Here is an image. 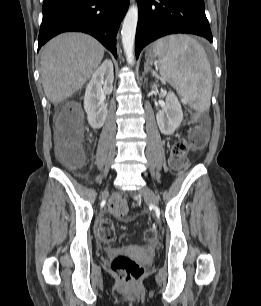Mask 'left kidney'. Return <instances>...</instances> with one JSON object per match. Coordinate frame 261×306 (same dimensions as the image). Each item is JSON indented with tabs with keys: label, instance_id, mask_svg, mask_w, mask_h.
I'll return each instance as SVG.
<instances>
[{
	"label": "left kidney",
	"instance_id": "5707ae66",
	"mask_svg": "<svg viewBox=\"0 0 261 306\" xmlns=\"http://www.w3.org/2000/svg\"><path fill=\"white\" fill-rule=\"evenodd\" d=\"M152 89H157L153 84ZM157 124L162 134L171 135L183 120V111L176 95L169 91L166 95L164 107L156 114Z\"/></svg>",
	"mask_w": 261,
	"mask_h": 306
}]
</instances>
